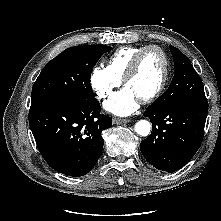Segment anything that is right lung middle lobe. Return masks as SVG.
Instances as JSON below:
<instances>
[{
    "label": "right lung middle lobe",
    "instance_id": "right-lung-middle-lobe-1",
    "mask_svg": "<svg viewBox=\"0 0 221 221\" xmlns=\"http://www.w3.org/2000/svg\"><path fill=\"white\" fill-rule=\"evenodd\" d=\"M111 49L105 45H88L64 50L41 71L32 88L31 105L93 98L90 84L92 68Z\"/></svg>",
    "mask_w": 221,
    "mask_h": 221
}]
</instances>
